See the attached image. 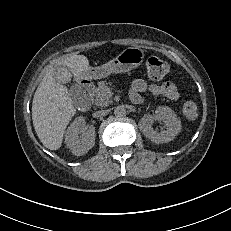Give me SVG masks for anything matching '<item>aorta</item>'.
<instances>
[{"mask_svg": "<svg viewBox=\"0 0 231 231\" xmlns=\"http://www.w3.org/2000/svg\"><path fill=\"white\" fill-rule=\"evenodd\" d=\"M114 115L118 118L126 116V109L123 106H117L114 110Z\"/></svg>", "mask_w": 231, "mask_h": 231, "instance_id": "aorta-1", "label": "aorta"}]
</instances>
